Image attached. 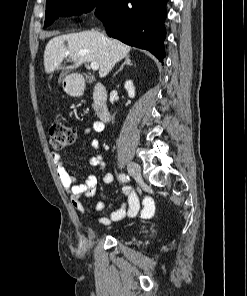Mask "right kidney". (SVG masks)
I'll return each mask as SVG.
<instances>
[{"instance_id": "1", "label": "right kidney", "mask_w": 247, "mask_h": 296, "mask_svg": "<svg viewBox=\"0 0 247 296\" xmlns=\"http://www.w3.org/2000/svg\"><path fill=\"white\" fill-rule=\"evenodd\" d=\"M125 89L127 90L129 97L133 98L135 96V88L132 81L129 80L125 82Z\"/></svg>"}]
</instances>
